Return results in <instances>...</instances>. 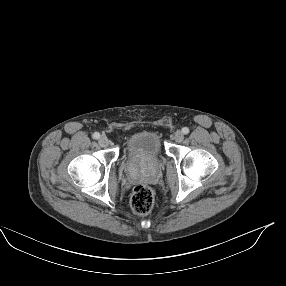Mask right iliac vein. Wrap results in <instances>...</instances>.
<instances>
[{"mask_svg": "<svg viewBox=\"0 0 286 286\" xmlns=\"http://www.w3.org/2000/svg\"><path fill=\"white\" fill-rule=\"evenodd\" d=\"M99 144L101 145V146H103V147H105V146H107L108 144H109V140H108V138L106 137V136H101L100 138H99Z\"/></svg>", "mask_w": 286, "mask_h": 286, "instance_id": "63e3f726", "label": "right iliac vein"}]
</instances>
